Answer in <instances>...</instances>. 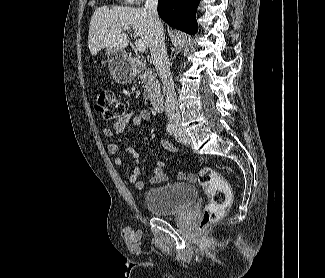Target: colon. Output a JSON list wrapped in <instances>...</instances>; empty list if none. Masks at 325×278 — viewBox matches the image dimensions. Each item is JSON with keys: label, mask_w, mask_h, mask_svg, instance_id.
I'll return each instance as SVG.
<instances>
[{"label": "colon", "mask_w": 325, "mask_h": 278, "mask_svg": "<svg viewBox=\"0 0 325 278\" xmlns=\"http://www.w3.org/2000/svg\"><path fill=\"white\" fill-rule=\"evenodd\" d=\"M94 108L98 115L106 121L119 120L125 114L124 103L117 99L110 90H102L98 93ZM189 180L195 181L196 177L190 176ZM197 181L209 196L208 204L199 221V229L204 230L223 217L231 202L232 192L227 181L211 167L201 168Z\"/></svg>", "instance_id": "5ec220e1"}]
</instances>
